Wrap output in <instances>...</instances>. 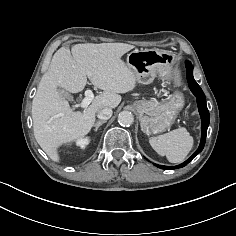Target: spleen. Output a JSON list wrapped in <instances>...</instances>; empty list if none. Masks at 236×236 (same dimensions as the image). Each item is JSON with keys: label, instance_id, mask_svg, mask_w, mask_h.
I'll list each match as a JSON object with an SVG mask.
<instances>
[{"label": "spleen", "instance_id": "spleen-1", "mask_svg": "<svg viewBox=\"0 0 236 236\" xmlns=\"http://www.w3.org/2000/svg\"><path fill=\"white\" fill-rule=\"evenodd\" d=\"M150 145L162 156H166L171 163H181L193 147V137L186 128L181 127L166 134L151 137Z\"/></svg>", "mask_w": 236, "mask_h": 236}]
</instances>
